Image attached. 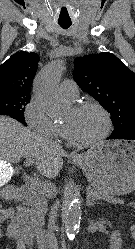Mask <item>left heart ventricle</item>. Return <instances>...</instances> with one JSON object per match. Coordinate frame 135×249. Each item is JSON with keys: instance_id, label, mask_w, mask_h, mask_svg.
Wrapping results in <instances>:
<instances>
[{"instance_id": "obj_1", "label": "left heart ventricle", "mask_w": 135, "mask_h": 249, "mask_svg": "<svg viewBox=\"0 0 135 249\" xmlns=\"http://www.w3.org/2000/svg\"><path fill=\"white\" fill-rule=\"evenodd\" d=\"M70 134L78 141H90L100 136L105 129L103 115L94 108L82 111L71 109L63 121Z\"/></svg>"}]
</instances>
